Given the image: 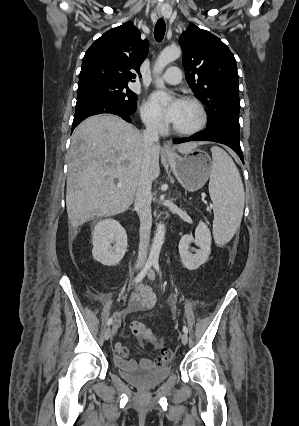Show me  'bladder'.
<instances>
[{
	"label": "bladder",
	"instance_id": "31cf9c89",
	"mask_svg": "<svg viewBox=\"0 0 299 426\" xmlns=\"http://www.w3.org/2000/svg\"><path fill=\"white\" fill-rule=\"evenodd\" d=\"M171 374L169 366L139 368L136 370L119 369L118 375L138 389L148 390L162 384Z\"/></svg>",
	"mask_w": 299,
	"mask_h": 426
}]
</instances>
